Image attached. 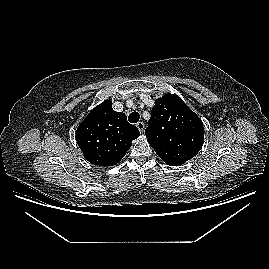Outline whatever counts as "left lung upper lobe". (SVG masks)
<instances>
[{
    "instance_id": "1",
    "label": "left lung upper lobe",
    "mask_w": 269,
    "mask_h": 269,
    "mask_svg": "<svg viewBox=\"0 0 269 269\" xmlns=\"http://www.w3.org/2000/svg\"><path fill=\"white\" fill-rule=\"evenodd\" d=\"M147 140L168 165L178 166L202 148L201 119L176 94H166L155 102L145 130Z\"/></svg>"
}]
</instances>
